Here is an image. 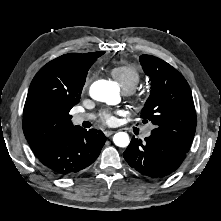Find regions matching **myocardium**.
<instances>
[{
    "label": "myocardium",
    "instance_id": "f54148a6",
    "mask_svg": "<svg viewBox=\"0 0 221 221\" xmlns=\"http://www.w3.org/2000/svg\"><path fill=\"white\" fill-rule=\"evenodd\" d=\"M135 97H136L137 100H140V99H141L140 96L135 95Z\"/></svg>",
    "mask_w": 221,
    "mask_h": 221
}]
</instances>
